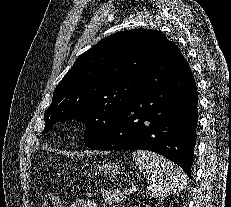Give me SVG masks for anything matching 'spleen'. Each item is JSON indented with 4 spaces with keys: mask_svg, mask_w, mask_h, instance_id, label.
<instances>
[{
    "mask_svg": "<svg viewBox=\"0 0 231 207\" xmlns=\"http://www.w3.org/2000/svg\"><path fill=\"white\" fill-rule=\"evenodd\" d=\"M133 160L147 178L150 199L162 200L183 189L187 176L181 168L158 154L146 150L133 152Z\"/></svg>",
    "mask_w": 231,
    "mask_h": 207,
    "instance_id": "1",
    "label": "spleen"
}]
</instances>
